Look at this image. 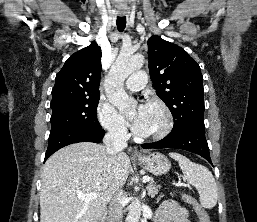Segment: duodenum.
Returning a JSON list of instances; mask_svg holds the SVG:
<instances>
[{
  "instance_id": "obj_1",
  "label": "duodenum",
  "mask_w": 257,
  "mask_h": 222,
  "mask_svg": "<svg viewBox=\"0 0 257 222\" xmlns=\"http://www.w3.org/2000/svg\"><path fill=\"white\" fill-rule=\"evenodd\" d=\"M107 217V213L104 212L99 216V218L95 222H107Z\"/></svg>"
}]
</instances>
